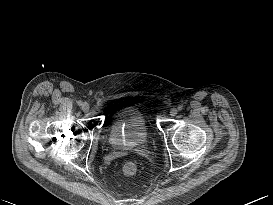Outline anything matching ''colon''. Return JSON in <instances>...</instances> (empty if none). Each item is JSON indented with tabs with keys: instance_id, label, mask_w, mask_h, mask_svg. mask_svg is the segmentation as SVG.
<instances>
[{
	"instance_id": "5ec220e1",
	"label": "colon",
	"mask_w": 273,
	"mask_h": 205,
	"mask_svg": "<svg viewBox=\"0 0 273 205\" xmlns=\"http://www.w3.org/2000/svg\"><path fill=\"white\" fill-rule=\"evenodd\" d=\"M136 165L133 162H126L123 166V173L126 176H133L136 173Z\"/></svg>"
}]
</instances>
